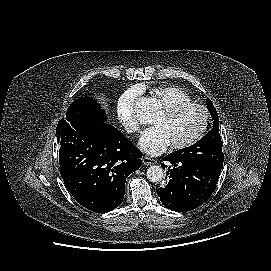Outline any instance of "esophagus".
I'll return each mask as SVG.
<instances>
[{
	"mask_svg": "<svg viewBox=\"0 0 271 271\" xmlns=\"http://www.w3.org/2000/svg\"><path fill=\"white\" fill-rule=\"evenodd\" d=\"M142 162L146 166L154 165L157 163V160L149 158V157H143Z\"/></svg>",
	"mask_w": 271,
	"mask_h": 271,
	"instance_id": "esophagus-1",
	"label": "esophagus"
}]
</instances>
